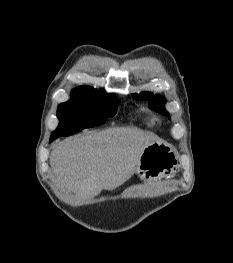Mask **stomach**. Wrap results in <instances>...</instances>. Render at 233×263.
Returning <instances> with one entry per match:
<instances>
[{"instance_id":"stomach-1","label":"stomach","mask_w":233,"mask_h":263,"mask_svg":"<svg viewBox=\"0 0 233 263\" xmlns=\"http://www.w3.org/2000/svg\"><path fill=\"white\" fill-rule=\"evenodd\" d=\"M177 167L176 150L167 143L156 141L143 150L136 174L144 181H151L171 175Z\"/></svg>"}]
</instances>
